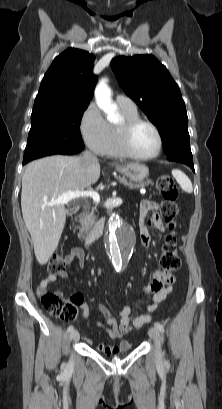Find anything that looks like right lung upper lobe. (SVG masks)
Listing matches in <instances>:
<instances>
[{
	"mask_svg": "<svg viewBox=\"0 0 222 409\" xmlns=\"http://www.w3.org/2000/svg\"><path fill=\"white\" fill-rule=\"evenodd\" d=\"M95 56L69 48L57 56L42 79L33 109L60 104H89L96 77Z\"/></svg>",
	"mask_w": 222,
	"mask_h": 409,
	"instance_id": "right-lung-upper-lobe-1",
	"label": "right lung upper lobe"
}]
</instances>
